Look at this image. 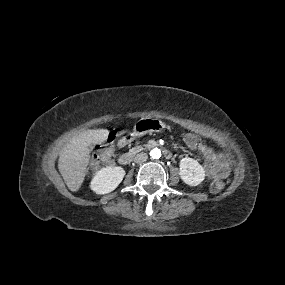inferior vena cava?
<instances>
[{
    "label": "inferior vena cava",
    "mask_w": 285,
    "mask_h": 285,
    "mask_svg": "<svg viewBox=\"0 0 285 285\" xmlns=\"http://www.w3.org/2000/svg\"><path fill=\"white\" fill-rule=\"evenodd\" d=\"M147 159H148V155L142 152L135 156L134 161L136 163H142V162H145Z\"/></svg>",
    "instance_id": "inferior-vena-cava-1"
}]
</instances>
